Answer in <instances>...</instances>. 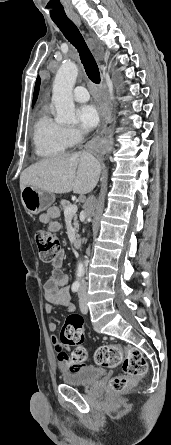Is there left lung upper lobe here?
<instances>
[{
	"label": "left lung upper lobe",
	"mask_w": 171,
	"mask_h": 445,
	"mask_svg": "<svg viewBox=\"0 0 171 445\" xmlns=\"http://www.w3.org/2000/svg\"><path fill=\"white\" fill-rule=\"evenodd\" d=\"M39 87H40V77H37L36 84H35L34 95H33V103H32V105H34V103L37 100L38 93H39Z\"/></svg>",
	"instance_id": "5c2ea615"
}]
</instances>
